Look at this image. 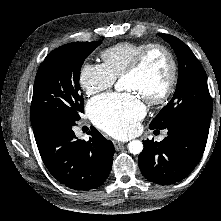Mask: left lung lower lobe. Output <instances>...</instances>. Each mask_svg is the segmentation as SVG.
Listing matches in <instances>:
<instances>
[{"label": "left lung lower lobe", "mask_w": 221, "mask_h": 221, "mask_svg": "<svg viewBox=\"0 0 221 221\" xmlns=\"http://www.w3.org/2000/svg\"><path fill=\"white\" fill-rule=\"evenodd\" d=\"M209 127L208 120L184 119L166 127L168 136L163 141H144L138 159L143 176L157 184H173L184 179L202 157Z\"/></svg>", "instance_id": "obj_1"}]
</instances>
